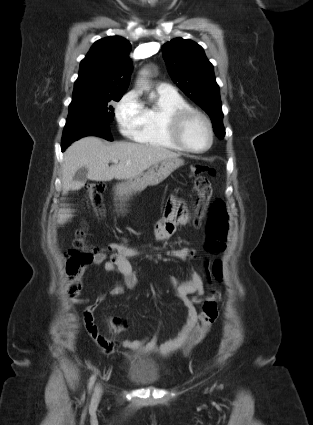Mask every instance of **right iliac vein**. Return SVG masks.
Returning <instances> with one entry per match:
<instances>
[{
  "instance_id": "1",
  "label": "right iliac vein",
  "mask_w": 313,
  "mask_h": 425,
  "mask_svg": "<svg viewBox=\"0 0 313 425\" xmlns=\"http://www.w3.org/2000/svg\"><path fill=\"white\" fill-rule=\"evenodd\" d=\"M101 394H102V388H101L100 385H98L95 388V392H94V395H93V398H92V404H96L99 401Z\"/></svg>"
}]
</instances>
